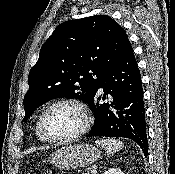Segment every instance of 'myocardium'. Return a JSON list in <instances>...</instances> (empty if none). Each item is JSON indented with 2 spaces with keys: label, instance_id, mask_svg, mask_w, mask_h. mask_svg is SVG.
Returning a JSON list of instances; mask_svg holds the SVG:
<instances>
[{
  "label": "myocardium",
  "instance_id": "obj_1",
  "mask_svg": "<svg viewBox=\"0 0 175 174\" xmlns=\"http://www.w3.org/2000/svg\"><path fill=\"white\" fill-rule=\"evenodd\" d=\"M60 105H69V106H72L75 109H77L82 117V125L75 133H73L67 137L55 138V137L50 136L45 129V118H46L47 114L53 108L60 106ZM91 121H92L91 115H90L89 109L85 105V103H83L82 101H80L78 99H74V98H64V99H60V100L53 102L42 112V114L39 118V129H40L42 136L44 137V139L46 141H49L51 143L62 144V143L71 142V141L81 137L82 135H84L89 130V128L91 126Z\"/></svg>",
  "mask_w": 175,
  "mask_h": 174
}]
</instances>
